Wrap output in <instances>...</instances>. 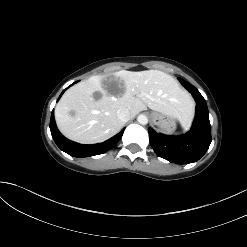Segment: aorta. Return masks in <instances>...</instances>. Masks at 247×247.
Listing matches in <instances>:
<instances>
[{
	"label": "aorta",
	"mask_w": 247,
	"mask_h": 247,
	"mask_svg": "<svg viewBox=\"0 0 247 247\" xmlns=\"http://www.w3.org/2000/svg\"><path fill=\"white\" fill-rule=\"evenodd\" d=\"M137 121L142 124V125H146L148 123V118L147 116L143 115V114H140L138 117H137Z\"/></svg>",
	"instance_id": "1"
}]
</instances>
